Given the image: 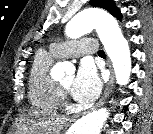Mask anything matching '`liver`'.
<instances>
[{
  "label": "liver",
  "instance_id": "6515ba94",
  "mask_svg": "<svg viewBox=\"0 0 153 134\" xmlns=\"http://www.w3.org/2000/svg\"><path fill=\"white\" fill-rule=\"evenodd\" d=\"M66 118L48 111L27 110L20 117L18 134H56L65 123Z\"/></svg>",
  "mask_w": 153,
  "mask_h": 134
}]
</instances>
